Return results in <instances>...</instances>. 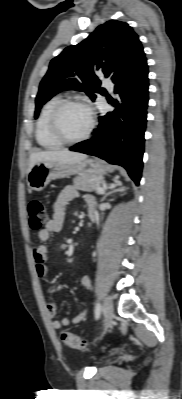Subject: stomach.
<instances>
[{"instance_id":"stomach-1","label":"stomach","mask_w":182,"mask_h":399,"mask_svg":"<svg viewBox=\"0 0 182 399\" xmlns=\"http://www.w3.org/2000/svg\"><path fill=\"white\" fill-rule=\"evenodd\" d=\"M106 165L99 159L86 158L75 164L45 161L36 163L27 174L31 190L42 191L54 179L68 178L71 175L103 176Z\"/></svg>"}]
</instances>
